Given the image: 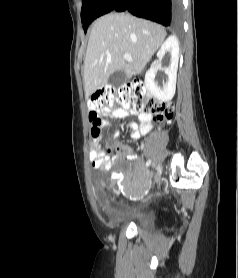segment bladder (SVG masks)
Segmentation results:
<instances>
[{
	"label": "bladder",
	"mask_w": 238,
	"mask_h": 278,
	"mask_svg": "<svg viewBox=\"0 0 238 278\" xmlns=\"http://www.w3.org/2000/svg\"><path fill=\"white\" fill-rule=\"evenodd\" d=\"M105 211L107 222L112 227H123L133 224L141 231H149L152 227L150 216L140 208L106 204Z\"/></svg>",
	"instance_id": "31cf9c89"
}]
</instances>
